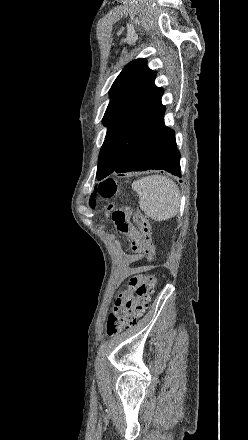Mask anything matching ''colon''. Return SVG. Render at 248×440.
Here are the masks:
<instances>
[{
    "label": "colon",
    "instance_id": "obj_1",
    "mask_svg": "<svg viewBox=\"0 0 248 440\" xmlns=\"http://www.w3.org/2000/svg\"><path fill=\"white\" fill-rule=\"evenodd\" d=\"M117 191L118 186L112 179L101 182L97 189L98 194L103 198H111ZM111 218L118 231L122 233L130 231L132 225L127 210H113ZM135 218L141 229L137 249L145 256L147 262L151 263L155 254V246L152 241L150 223L140 212L136 213ZM151 269L152 266L148 265L144 274L135 275L130 279V292L124 298L125 313L116 310L110 313L107 318L106 332L109 336L117 335L135 325L138 318L147 310L156 285V277L151 272Z\"/></svg>",
    "mask_w": 248,
    "mask_h": 440
}]
</instances>
